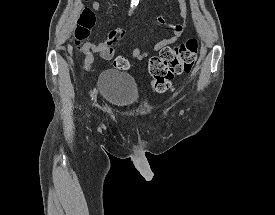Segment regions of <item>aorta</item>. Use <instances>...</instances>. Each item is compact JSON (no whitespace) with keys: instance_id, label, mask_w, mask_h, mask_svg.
Wrapping results in <instances>:
<instances>
[{"instance_id":"762f6f07","label":"aorta","mask_w":275,"mask_h":215,"mask_svg":"<svg viewBox=\"0 0 275 215\" xmlns=\"http://www.w3.org/2000/svg\"><path fill=\"white\" fill-rule=\"evenodd\" d=\"M131 2H132L133 4H137V3L139 2V0H131Z\"/></svg>"}]
</instances>
